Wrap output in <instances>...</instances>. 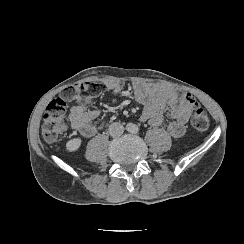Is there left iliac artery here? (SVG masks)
Masks as SVG:
<instances>
[{
  "label": "left iliac artery",
  "mask_w": 244,
  "mask_h": 244,
  "mask_svg": "<svg viewBox=\"0 0 244 244\" xmlns=\"http://www.w3.org/2000/svg\"><path fill=\"white\" fill-rule=\"evenodd\" d=\"M137 131H138V128L135 127V128H134V132L137 133Z\"/></svg>",
  "instance_id": "1"
}]
</instances>
